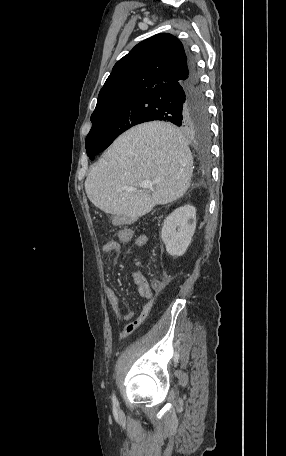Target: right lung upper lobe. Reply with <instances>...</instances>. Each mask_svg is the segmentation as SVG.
I'll use <instances>...</instances> for the list:
<instances>
[{"instance_id": "cb5924a9", "label": "right lung upper lobe", "mask_w": 286, "mask_h": 456, "mask_svg": "<svg viewBox=\"0 0 286 456\" xmlns=\"http://www.w3.org/2000/svg\"><path fill=\"white\" fill-rule=\"evenodd\" d=\"M188 54L175 36L154 35L137 44L113 67L95 111L115 100L139 95L187 75Z\"/></svg>"}]
</instances>
